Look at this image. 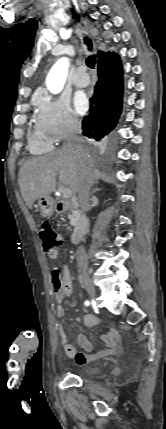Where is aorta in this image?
<instances>
[{
    "mask_svg": "<svg viewBox=\"0 0 166 429\" xmlns=\"http://www.w3.org/2000/svg\"><path fill=\"white\" fill-rule=\"evenodd\" d=\"M69 68V60L66 57L59 59L50 70L46 85L48 90L53 94H58L62 91L67 77Z\"/></svg>",
    "mask_w": 166,
    "mask_h": 429,
    "instance_id": "762f6f07",
    "label": "aorta"
}]
</instances>
